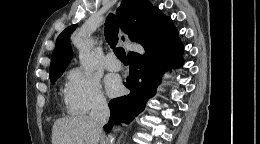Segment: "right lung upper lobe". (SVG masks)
<instances>
[{"label":"right lung upper lobe","instance_id":"cb5924a9","mask_svg":"<svg viewBox=\"0 0 260 144\" xmlns=\"http://www.w3.org/2000/svg\"><path fill=\"white\" fill-rule=\"evenodd\" d=\"M116 15L122 30L128 34L130 40L140 43L145 50L178 35L171 18L163 15L147 0H122ZM76 27L77 24L71 25L58 36L49 74L65 70L70 62L73 55L70 34Z\"/></svg>","mask_w":260,"mask_h":144}]
</instances>
